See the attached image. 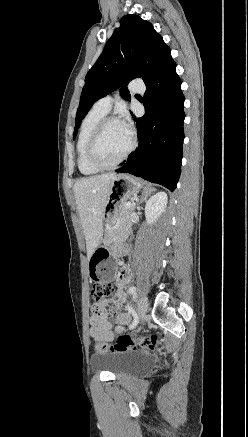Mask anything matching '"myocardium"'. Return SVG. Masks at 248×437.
Masks as SVG:
<instances>
[{
	"label": "myocardium",
	"mask_w": 248,
	"mask_h": 437,
	"mask_svg": "<svg viewBox=\"0 0 248 437\" xmlns=\"http://www.w3.org/2000/svg\"><path fill=\"white\" fill-rule=\"evenodd\" d=\"M113 122H119V121L114 117L102 118L98 122V124L96 125L95 129L93 130L91 137L89 139L88 145H87L88 160L92 166H94L95 168H97L99 170H109V169L116 167L117 165H119L121 162H123L131 154V152L135 149V146H136V141H135L134 137L131 136L130 137V144H129L128 148L125 150V152L117 160H115L112 163H104L99 159V157L97 155V148H98L99 141L101 139V136H102L103 131L106 128V126L110 123H113Z\"/></svg>",
	"instance_id": "f54148a6"
}]
</instances>
